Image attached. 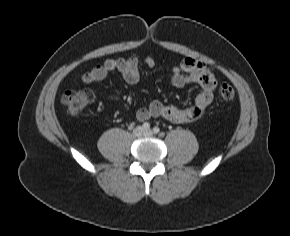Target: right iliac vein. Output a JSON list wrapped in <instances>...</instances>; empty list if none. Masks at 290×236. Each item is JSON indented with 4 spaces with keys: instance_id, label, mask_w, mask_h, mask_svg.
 I'll list each match as a JSON object with an SVG mask.
<instances>
[{
    "instance_id": "right-iliac-vein-1",
    "label": "right iliac vein",
    "mask_w": 290,
    "mask_h": 236,
    "mask_svg": "<svg viewBox=\"0 0 290 236\" xmlns=\"http://www.w3.org/2000/svg\"><path fill=\"white\" fill-rule=\"evenodd\" d=\"M143 132H144L143 128L139 126V127H136V128L134 129V131H133V135H134L135 137H140V136L143 134Z\"/></svg>"
}]
</instances>
